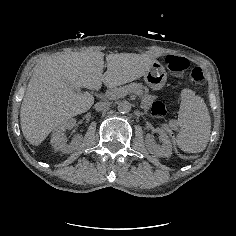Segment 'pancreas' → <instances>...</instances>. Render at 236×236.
Masks as SVG:
<instances>
[{"label": "pancreas", "instance_id": "obj_1", "mask_svg": "<svg viewBox=\"0 0 236 236\" xmlns=\"http://www.w3.org/2000/svg\"><path fill=\"white\" fill-rule=\"evenodd\" d=\"M143 91L148 92L149 89L142 85L141 83H127L124 85L119 86L118 88L115 89H109L105 92L103 95V98L105 100H116L119 99L122 96L131 94V93H142Z\"/></svg>", "mask_w": 236, "mask_h": 236}]
</instances>
